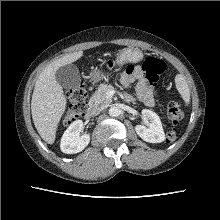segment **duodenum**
<instances>
[{
	"instance_id": "obj_1",
	"label": "duodenum",
	"mask_w": 220,
	"mask_h": 220,
	"mask_svg": "<svg viewBox=\"0 0 220 220\" xmlns=\"http://www.w3.org/2000/svg\"><path fill=\"white\" fill-rule=\"evenodd\" d=\"M95 109L93 106H90L86 112V118H91L94 115Z\"/></svg>"
}]
</instances>
